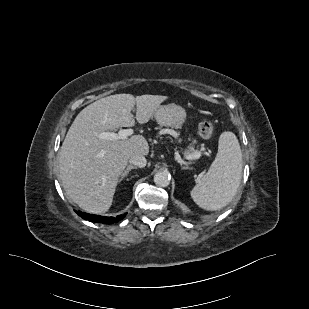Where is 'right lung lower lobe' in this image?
I'll return each instance as SVG.
<instances>
[{
  "label": "right lung lower lobe",
  "mask_w": 309,
  "mask_h": 309,
  "mask_svg": "<svg viewBox=\"0 0 309 309\" xmlns=\"http://www.w3.org/2000/svg\"><path fill=\"white\" fill-rule=\"evenodd\" d=\"M77 214L81 218L91 221V222H98V223H103V224H113L115 222L122 220L126 216L127 213L123 215H119L117 217H105V216L88 214V213L81 212V211H78Z\"/></svg>",
  "instance_id": "obj_1"
}]
</instances>
